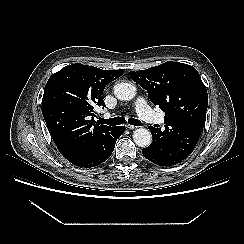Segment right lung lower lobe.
I'll return each mask as SVG.
<instances>
[{"mask_svg": "<svg viewBox=\"0 0 244 244\" xmlns=\"http://www.w3.org/2000/svg\"><path fill=\"white\" fill-rule=\"evenodd\" d=\"M124 130V126L115 127L106 141L96 151L89 154L76 155L67 158V160L76 166L84 168L95 167L101 164L111 156L116 140L124 132Z\"/></svg>", "mask_w": 244, "mask_h": 244, "instance_id": "obj_1", "label": "right lung lower lobe"}]
</instances>
